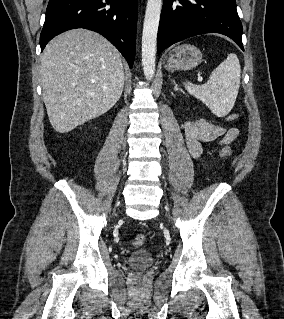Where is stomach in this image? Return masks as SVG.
<instances>
[{"instance_id":"obj_1","label":"stomach","mask_w":284,"mask_h":319,"mask_svg":"<svg viewBox=\"0 0 284 319\" xmlns=\"http://www.w3.org/2000/svg\"><path fill=\"white\" fill-rule=\"evenodd\" d=\"M202 62L201 51L189 44L175 47L165 57V67L168 70L187 71L195 68Z\"/></svg>"}]
</instances>
